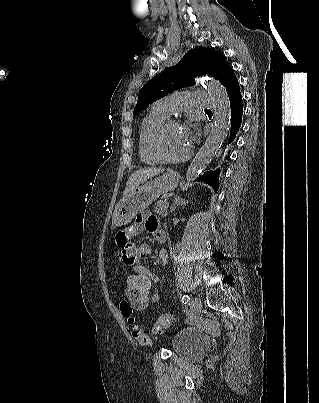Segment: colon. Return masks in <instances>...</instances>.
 Listing matches in <instances>:
<instances>
[{
    "label": "colon",
    "instance_id": "obj_1",
    "mask_svg": "<svg viewBox=\"0 0 319 403\" xmlns=\"http://www.w3.org/2000/svg\"><path fill=\"white\" fill-rule=\"evenodd\" d=\"M153 282V275H143L142 267H128L126 296H120L118 299V315L122 317V324L127 325L129 339L141 345H147L150 342V336L140 328V323L136 321L132 306H135V313H145L146 309H150V300L153 297L151 284ZM175 320L176 315L172 312L162 314L152 326L151 334L163 333L164 330L174 324Z\"/></svg>",
    "mask_w": 319,
    "mask_h": 403
}]
</instances>
